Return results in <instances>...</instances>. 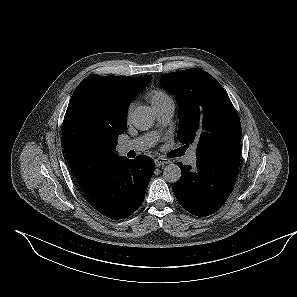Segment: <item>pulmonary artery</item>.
Masks as SVG:
<instances>
[{
  "instance_id": "e3ab8cb5",
  "label": "pulmonary artery",
  "mask_w": 297,
  "mask_h": 297,
  "mask_svg": "<svg viewBox=\"0 0 297 297\" xmlns=\"http://www.w3.org/2000/svg\"><path fill=\"white\" fill-rule=\"evenodd\" d=\"M153 108L156 112L158 122L162 126L169 124L175 111V103L173 99L169 97L164 101L153 105ZM157 138V133L151 132L134 139L126 140L119 145V151L121 153H127L129 151L146 150L155 144ZM186 161L189 164H194L196 162L195 147L191 148L189 151Z\"/></svg>"
}]
</instances>
